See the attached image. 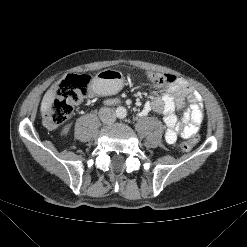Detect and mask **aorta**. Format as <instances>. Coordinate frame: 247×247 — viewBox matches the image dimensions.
I'll use <instances>...</instances> for the list:
<instances>
[{
  "label": "aorta",
  "mask_w": 247,
  "mask_h": 247,
  "mask_svg": "<svg viewBox=\"0 0 247 247\" xmlns=\"http://www.w3.org/2000/svg\"><path fill=\"white\" fill-rule=\"evenodd\" d=\"M116 115L118 118H124L127 115V110L123 106H119L116 109Z\"/></svg>",
  "instance_id": "obj_1"
}]
</instances>
